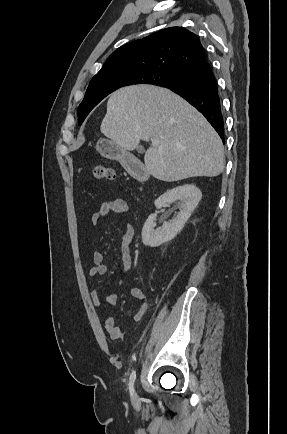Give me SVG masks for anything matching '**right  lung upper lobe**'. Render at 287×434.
<instances>
[{
	"label": "right lung upper lobe",
	"mask_w": 287,
	"mask_h": 434,
	"mask_svg": "<svg viewBox=\"0 0 287 434\" xmlns=\"http://www.w3.org/2000/svg\"><path fill=\"white\" fill-rule=\"evenodd\" d=\"M205 60L203 46L194 33L170 27L118 48L92 80L154 71L182 75Z\"/></svg>",
	"instance_id": "right-lung-upper-lobe-1"
}]
</instances>
